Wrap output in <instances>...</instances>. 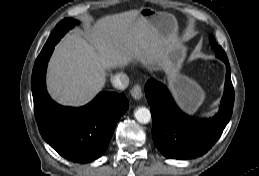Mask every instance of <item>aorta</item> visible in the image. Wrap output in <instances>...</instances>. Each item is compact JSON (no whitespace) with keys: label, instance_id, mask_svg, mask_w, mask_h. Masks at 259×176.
<instances>
[{"label":"aorta","instance_id":"762f6f07","mask_svg":"<svg viewBox=\"0 0 259 176\" xmlns=\"http://www.w3.org/2000/svg\"><path fill=\"white\" fill-rule=\"evenodd\" d=\"M134 116L139 123L147 124L151 121L150 110L146 107H139L136 109Z\"/></svg>","mask_w":259,"mask_h":176}]
</instances>
